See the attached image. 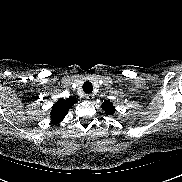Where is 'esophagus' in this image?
Wrapping results in <instances>:
<instances>
[{"instance_id": "obj_1", "label": "esophagus", "mask_w": 182, "mask_h": 182, "mask_svg": "<svg viewBox=\"0 0 182 182\" xmlns=\"http://www.w3.org/2000/svg\"><path fill=\"white\" fill-rule=\"evenodd\" d=\"M85 98H86V100H88V101H92V100L94 99V95H92V94H87V95L85 96Z\"/></svg>"}]
</instances>
